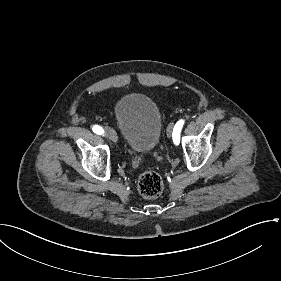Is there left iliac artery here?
Instances as JSON below:
<instances>
[{"label":"left iliac artery","instance_id":"obj_1","mask_svg":"<svg viewBox=\"0 0 281 281\" xmlns=\"http://www.w3.org/2000/svg\"><path fill=\"white\" fill-rule=\"evenodd\" d=\"M183 124H184V120H179L176 123V125L174 126L172 137H173V141L176 145L179 144L180 132H181V129L183 127Z\"/></svg>","mask_w":281,"mask_h":281}]
</instances>
